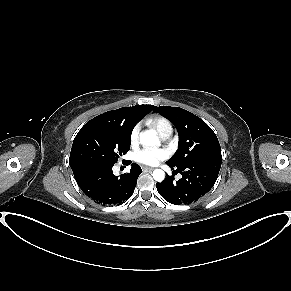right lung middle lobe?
Listing matches in <instances>:
<instances>
[{
    "mask_svg": "<svg viewBox=\"0 0 291 291\" xmlns=\"http://www.w3.org/2000/svg\"><path fill=\"white\" fill-rule=\"evenodd\" d=\"M133 128L107 120H90L76 135L70 154L73 170L97 164L114 165L130 149Z\"/></svg>",
    "mask_w": 291,
    "mask_h": 291,
    "instance_id": "dd1d6c3e",
    "label": "right lung middle lobe"
}]
</instances>
